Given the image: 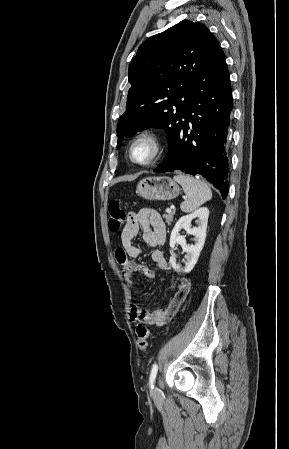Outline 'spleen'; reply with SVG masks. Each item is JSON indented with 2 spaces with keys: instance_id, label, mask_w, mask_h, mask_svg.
Masks as SVG:
<instances>
[{
  "instance_id": "obj_1",
  "label": "spleen",
  "mask_w": 289,
  "mask_h": 449,
  "mask_svg": "<svg viewBox=\"0 0 289 449\" xmlns=\"http://www.w3.org/2000/svg\"><path fill=\"white\" fill-rule=\"evenodd\" d=\"M173 179L182 186L187 196L180 205L181 210L185 213L195 211L212 198L211 189L202 180L181 173L175 175Z\"/></svg>"
}]
</instances>
